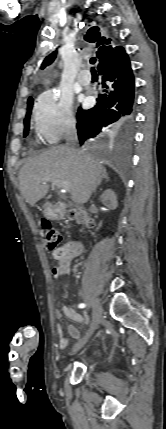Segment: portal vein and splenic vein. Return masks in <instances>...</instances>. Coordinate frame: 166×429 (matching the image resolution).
<instances>
[{
    "instance_id": "obj_1",
    "label": "portal vein and splenic vein",
    "mask_w": 166,
    "mask_h": 429,
    "mask_svg": "<svg viewBox=\"0 0 166 429\" xmlns=\"http://www.w3.org/2000/svg\"><path fill=\"white\" fill-rule=\"evenodd\" d=\"M51 181L53 185H56L57 187L61 188L63 192L70 191L71 184L68 181H58V180H44V182Z\"/></svg>"
}]
</instances>
